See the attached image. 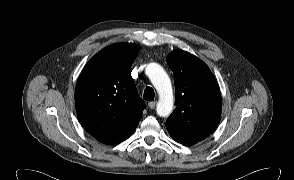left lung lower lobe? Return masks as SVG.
Listing matches in <instances>:
<instances>
[{"instance_id": "left-lung-lower-lobe-1", "label": "left lung lower lobe", "mask_w": 294, "mask_h": 180, "mask_svg": "<svg viewBox=\"0 0 294 180\" xmlns=\"http://www.w3.org/2000/svg\"><path fill=\"white\" fill-rule=\"evenodd\" d=\"M167 130H168L170 136L175 141H177L178 143H181L183 145H186V146L194 145L197 142H200V141L204 140L206 137H208V136L184 134V133H180L175 130L168 129V128H167Z\"/></svg>"}]
</instances>
